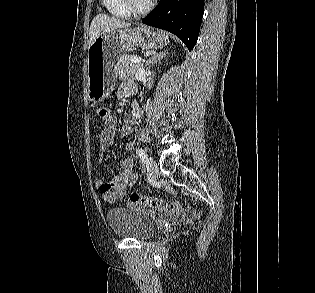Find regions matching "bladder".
I'll return each instance as SVG.
<instances>
[{
	"mask_svg": "<svg viewBox=\"0 0 315 293\" xmlns=\"http://www.w3.org/2000/svg\"><path fill=\"white\" fill-rule=\"evenodd\" d=\"M112 232L122 239L148 240L156 231L154 223L137 208L117 207L107 213Z\"/></svg>",
	"mask_w": 315,
	"mask_h": 293,
	"instance_id": "1",
	"label": "bladder"
}]
</instances>
